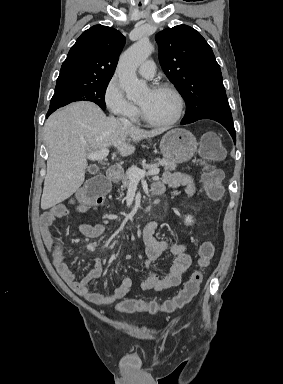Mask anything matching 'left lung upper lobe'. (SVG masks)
<instances>
[{
	"label": "left lung upper lobe",
	"instance_id": "5c2ea615",
	"mask_svg": "<svg viewBox=\"0 0 283 384\" xmlns=\"http://www.w3.org/2000/svg\"><path fill=\"white\" fill-rule=\"evenodd\" d=\"M156 41L161 67L186 101L182 122L231 112L220 66L198 31L178 25L159 32Z\"/></svg>",
	"mask_w": 283,
	"mask_h": 384
}]
</instances>
